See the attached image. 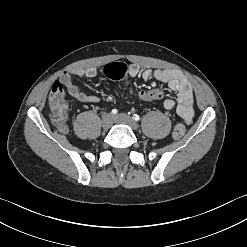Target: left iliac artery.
Here are the masks:
<instances>
[{"instance_id": "1", "label": "left iliac artery", "mask_w": 247, "mask_h": 247, "mask_svg": "<svg viewBox=\"0 0 247 247\" xmlns=\"http://www.w3.org/2000/svg\"><path fill=\"white\" fill-rule=\"evenodd\" d=\"M135 121H139L140 120V116L137 114H134L132 117Z\"/></svg>"}]
</instances>
